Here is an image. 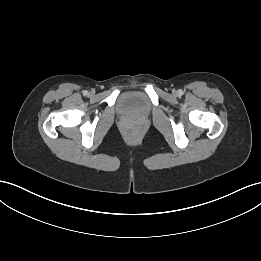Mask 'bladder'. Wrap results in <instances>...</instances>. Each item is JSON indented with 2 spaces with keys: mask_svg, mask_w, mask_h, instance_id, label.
<instances>
[{
  "mask_svg": "<svg viewBox=\"0 0 261 261\" xmlns=\"http://www.w3.org/2000/svg\"><path fill=\"white\" fill-rule=\"evenodd\" d=\"M151 102L148 95L139 90L122 93L117 102L118 112L125 117L143 118L151 112Z\"/></svg>",
  "mask_w": 261,
  "mask_h": 261,
  "instance_id": "1",
  "label": "bladder"
}]
</instances>
